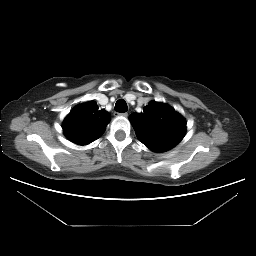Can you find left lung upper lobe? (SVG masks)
I'll return each instance as SVG.
<instances>
[{
	"label": "left lung upper lobe",
	"instance_id": "obj_1",
	"mask_svg": "<svg viewBox=\"0 0 256 256\" xmlns=\"http://www.w3.org/2000/svg\"><path fill=\"white\" fill-rule=\"evenodd\" d=\"M138 139L154 152H164L176 146L186 131L185 119L172 107L152 101L142 113L129 116Z\"/></svg>",
	"mask_w": 256,
	"mask_h": 256
}]
</instances>
